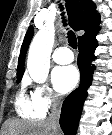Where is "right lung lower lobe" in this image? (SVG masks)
<instances>
[{"instance_id": "98d812e1", "label": "right lung lower lobe", "mask_w": 112, "mask_h": 135, "mask_svg": "<svg viewBox=\"0 0 112 135\" xmlns=\"http://www.w3.org/2000/svg\"><path fill=\"white\" fill-rule=\"evenodd\" d=\"M98 46L96 35L82 40L78 44V67L81 74L79 87L64 100L61 110L60 125L65 135H75L83 108L88 95L87 89L92 82L95 69L93 61L96 59L94 51Z\"/></svg>"}]
</instances>
